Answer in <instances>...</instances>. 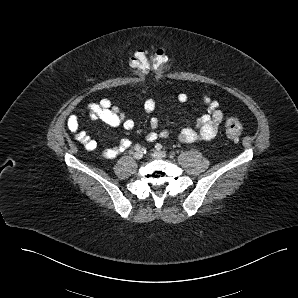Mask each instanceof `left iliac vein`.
Here are the masks:
<instances>
[{"instance_id":"4c4485c4","label":"left iliac vein","mask_w":298,"mask_h":298,"mask_svg":"<svg viewBox=\"0 0 298 298\" xmlns=\"http://www.w3.org/2000/svg\"><path fill=\"white\" fill-rule=\"evenodd\" d=\"M167 155L164 151H154L152 153V157L156 158V159H163L165 158Z\"/></svg>"}]
</instances>
